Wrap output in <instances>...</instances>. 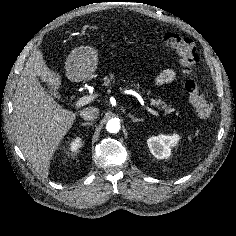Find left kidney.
<instances>
[{"label": "left kidney", "mask_w": 236, "mask_h": 236, "mask_svg": "<svg viewBox=\"0 0 236 236\" xmlns=\"http://www.w3.org/2000/svg\"><path fill=\"white\" fill-rule=\"evenodd\" d=\"M179 135H159L150 137L147 144L150 152L157 159H165L171 155V148L174 147L179 141Z\"/></svg>", "instance_id": "1"}]
</instances>
